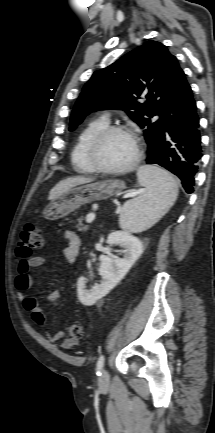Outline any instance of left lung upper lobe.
I'll return each mask as SVG.
<instances>
[{
    "label": "left lung upper lobe",
    "mask_w": 215,
    "mask_h": 433,
    "mask_svg": "<svg viewBox=\"0 0 215 433\" xmlns=\"http://www.w3.org/2000/svg\"><path fill=\"white\" fill-rule=\"evenodd\" d=\"M184 80L176 57L160 42L148 41L92 75L75 104L69 130L94 110L122 109L144 128L150 153L163 126L164 110ZM141 95L147 99L143 104L138 102ZM155 115L160 119L152 122L149 118Z\"/></svg>",
    "instance_id": "left-lung-upper-lobe-1"
}]
</instances>
